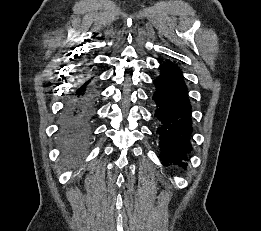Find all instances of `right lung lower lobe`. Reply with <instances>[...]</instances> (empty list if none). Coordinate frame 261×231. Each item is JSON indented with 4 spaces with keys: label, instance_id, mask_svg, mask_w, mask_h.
<instances>
[{
    "label": "right lung lower lobe",
    "instance_id": "right-lung-lower-lobe-1",
    "mask_svg": "<svg viewBox=\"0 0 261 231\" xmlns=\"http://www.w3.org/2000/svg\"><path fill=\"white\" fill-rule=\"evenodd\" d=\"M95 83L91 73H84L66 99L61 132L64 137V151L69 158L78 157L89 138Z\"/></svg>",
    "mask_w": 261,
    "mask_h": 231
}]
</instances>
